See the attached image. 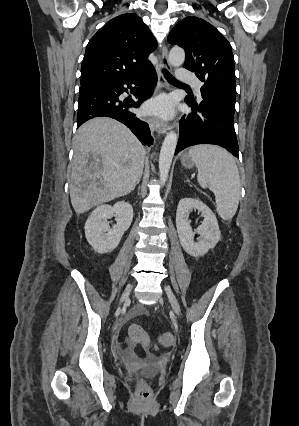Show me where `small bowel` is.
Instances as JSON below:
<instances>
[{"mask_svg":"<svg viewBox=\"0 0 299 426\" xmlns=\"http://www.w3.org/2000/svg\"><path fill=\"white\" fill-rule=\"evenodd\" d=\"M146 311L142 307H137L133 315H145ZM120 352L125 361L130 364H138L143 359V356L136 351V342L128 341L120 347ZM145 354V353H144Z\"/></svg>","mask_w":299,"mask_h":426,"instance_id":"obj_1","label":"small bowel"}]
</instances>
